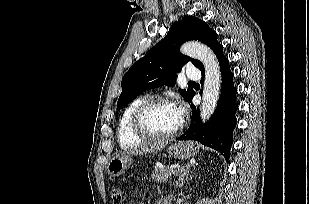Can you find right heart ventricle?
I'll use <instances>...</instances> for the list:
<instances>
[{
  "instance_id": "right-heart-ventricle-1",
  "label": "right heart ventricle",
  "mask_w": 309,
  "mask_h": 204,
  "mask_svg": "<svg viewBox=\"0 0 309 204\" xmlns=\"http://www.w3.org/2000/svg\"><path fill=\"white\" fill-rule=\"evenodd\" d=\"M147 99H149L148 96H140L134 99L124 110L117 131L118 141L121 147H133L142 143L143 139L137 136L131 128V119L135 109Z\"/></svg>"
}]
</instances>
